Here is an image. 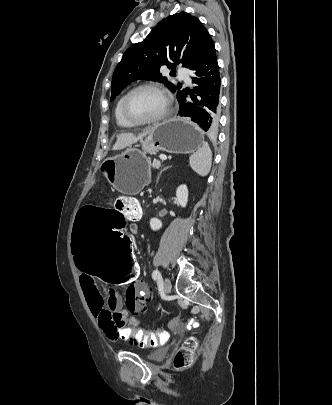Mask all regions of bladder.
I'll return each instance as SVG.
<instances>
[{
  "mask_svg": "<svg viewBox=\"0 0 332 405\" xmlns=\"http://www.w3.org/2000/svg\"><path fill=\"white\" fill-rule=\"evenodd\" d=\"M168 353L167 346H161L145 355V358L150 361H160L166 357Z\"/></svg>",
  "mask_w": 332,
  "mask_h": 405,
  "instance_id": "31cf9c89",
  "label": "bladder"
}]
</instances>
